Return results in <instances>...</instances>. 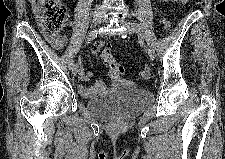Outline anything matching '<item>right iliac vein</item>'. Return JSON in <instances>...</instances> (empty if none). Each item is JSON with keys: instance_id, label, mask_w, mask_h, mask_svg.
I'll return each instance as SVG.
<instances>
[{"instance_id": "1", "label": "right iliac vein", "mask_w": 225, "mask_h": 159, "mask_svg": "<svg viewBox=\"0 0 225 159\" xmlns=\"http://www.w3.org/2000/svg\"><path fill=\"white\" fill-rule=\"evenodd\" d=\"M101 22H102V12L100 10L94 11L93 16H92V24L94 26H96V25L100 24ZM80 69H81V67L78 64H74L71 67L72 73L74 75H77L79 73Z\"/></svg>"}]
</instances>
